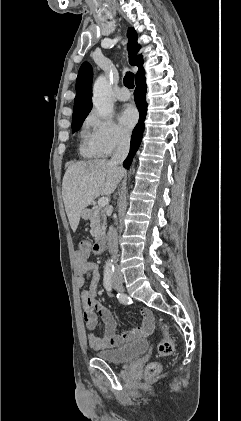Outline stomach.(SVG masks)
Listing matches in <instances>:
<instances>
[{
	"instance_id": "stomach-1",
	"label": "stomach",
	"mask_w": 241,
	"mask_h": 421,
	"mask_svg": "<svg viewBox=\"0 0 241 421\" xmlns=\"http://www.w3.org/2000/svg\"><path fill=\"white\" fill-rule=\"evenodd\" d=\"M81 216H82L83 219H88V218H90V212L88 210H84L81 213Z\"/></svg>"
}]
</instances>
